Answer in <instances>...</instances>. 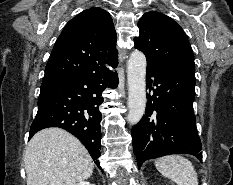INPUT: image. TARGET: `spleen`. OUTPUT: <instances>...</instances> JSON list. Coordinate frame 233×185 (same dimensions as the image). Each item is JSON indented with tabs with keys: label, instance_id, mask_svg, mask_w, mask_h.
<instances>
[{
	"label": "spleen",
	"instance_id": "3e777b00",
	"mask_svg": "<svg viewBox=\"0 0 233 185\" xmlns=\"http://www.w3.org/2000/svg\"><path fill=\"white\" fill-rule=\"evenodd\" d=\"M156 169L177 185H198L197 173L192 163L181 155H169L155 161Z\"/></svg>",
	"mask_w": 233,
	"mask_h": 185
}]
</instances>
